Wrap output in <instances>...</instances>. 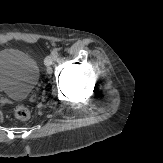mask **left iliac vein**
Returning a JSON list of instances; mask_svg holds the SVG:
<instances>
[{"mask_svg": "<svg viewBox=\"0 0 163 163\" xmlns=\"http://www.w3.org/2000/svg\"><path fill=\"white\" fill-rule=\"evenodd\" d=\"M55 60V55L54 54H50L45 58V65L47 67L51 66V64L53 63V61Z\"/></svg>", "mask_w": 163, "mask_h": 163, "instance_id": "1", "label": "left iliac vein"}]
</instances>
